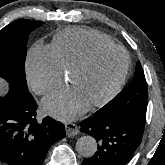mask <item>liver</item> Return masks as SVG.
I'll use <instances>...</instances> for the list:
<instances>
[{"mask_svg":"<svg viewBox=\"0 0 165 165\" xmlns=\"http://www.w3.org/2000/svg\"><path fill=\"white\" fill-rule=\"evenodd\" d=\"M7 92V83L0 79V95Z\"/></svg>","mask_w":165,"mask_h":165,"instance_id":"obj_1","label":"liver"}]
</instances>
